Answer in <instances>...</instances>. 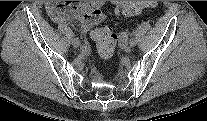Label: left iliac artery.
<instances>
[{
    "label": "left iliac artery",
    "mask_w": 207,
    "mask_h": 121,
    "mask_svg": "<svg viewBox=\"0 0 207 121\" xmlns=\"http://www.w3.org/2000/svg\"><path fill=\"white\" fill-rule=\"evenodd\" d=\"M128 32L127 31H122L120 34H119V43L120 44H131L132 46H135L136 45V41L134 39H131L130 37H128Z\"/></svg>",
    "instance_id": "left-iliac-artery-1"
}]
</instances>
